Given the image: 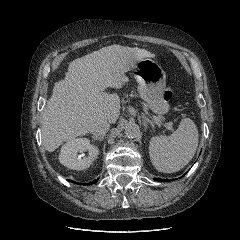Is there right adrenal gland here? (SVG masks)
<instances>
[{"label": "right adrenal gland", "instance_id": "1", "mask_svg": "<svg viewBox=\"0 0 240 240\" xmlns=\"http://www.w3.org/2000/svg\"><path fill=\"white\" fill-rule=\"evenodd\" d=\"M104 137H105L104 135H102V136H92V139L102 141L104 139Z\"/></svg>", "mask_w": 240, "mask_h": 240}]
</instances>
